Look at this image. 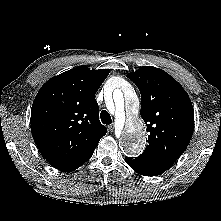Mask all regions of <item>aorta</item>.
I'll return each instance as SVG.
<instances>
[{
  "instance_id": "1",
  "label": "aorta",
  "mask_w": 221,
  "mask_h": 221,
  "mask_svg": "<svg viewBox=\"0 0 221 221\" xmlns=\"http://www.w3.org/2000/svg\"><path fill=\"white\" fill-rule=\"evenodd\" d=\"M121 86L113 91L115 118L124 125L120 143L126 154L137 156L144 150L147 132L144 122L138 117L139 99L134 88L125 81Z\"/></svg>"
}]
</instances>
